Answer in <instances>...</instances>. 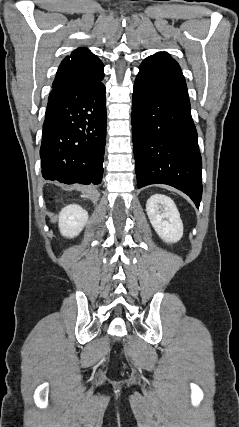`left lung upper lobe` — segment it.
<instances>
[{"mask_svg": "<svg viewBox=\"0 0 239 427\" xmlns=\"http://www.w3.org/2000/svg\"><path fill=\"white\" fill-rule=\"evenodd\" d=\"M144 61L157 64V65H159L161 67H164L166 69L173 70V71H176V72L182 74L181 68L178 65V63L174 59H172L170 57V55L168 53H166V52L156 53V54H154L152 56H149Z\"/></svg>", "mask_w": 239, "mask_h": 427, "instance_id": "obj_1", "label": "left lung upper lobe"}]
</instances>
